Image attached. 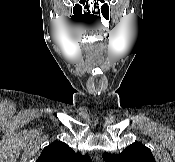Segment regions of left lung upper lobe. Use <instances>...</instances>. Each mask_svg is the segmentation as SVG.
Instances as JSON below:
<instances>
[{
  "label": "left lung upper lobe",
  "instance_id": "obj_1",
  "mask_svg": "<svg viewBox=\"0 0 175 162\" xmlns=\"http://www.w3.org/2000/svg\"><path fill=\"white\" fill-rule=\"evenodd\" d=\"M105 162H156L151 150L140 142L129 145L120 154H103Z\"/></svg>",
  "mask_w": 175,
  "mask_h": 162
}]
</instances>
